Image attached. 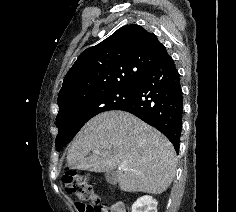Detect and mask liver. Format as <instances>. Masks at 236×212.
Instances as JSON below:
<instances>
[{
  "label": "liver",
  "mask_w": 236,
  "mask_h": 212,
  "mask_svg": "<svg viewBox=\"0 0 236 212\" xmlns=\"http://www.w3.org/2000/svg\"><path fill=\"white\" fill-rule=\"evenodd\" d=\"M92 154L87 157L88 153ZM70 169L102 173L117 171L121 190L161 194L172 183L176 153L158 130L124 111H108L89 120L67 153Z\"/></svg>",
  "instance_id": "6515ba94"
}]
</instances>
